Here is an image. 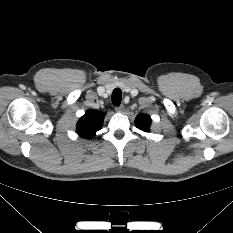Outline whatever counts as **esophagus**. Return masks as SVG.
<instances>
[{
    "mask_svg": "<svg viewBox=\"0 0 233 233\" xmlns=\"http://www.w3.org/2000/svg\"><path fill=\"white\" fill-rule=\"evenodd\" d=\"M115 110H116V112H119V113L123 112V110H124V105L117 106V107L115 108Z\"/></svg>",
    "mask_w": 233,
    "mask_h": 233,
    "instance_id": "1",
    "label": "esophagus"
}]
</instances>
